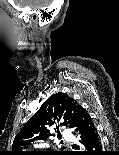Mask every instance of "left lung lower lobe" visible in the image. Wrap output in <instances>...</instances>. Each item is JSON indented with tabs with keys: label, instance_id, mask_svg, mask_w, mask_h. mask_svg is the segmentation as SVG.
<instances>
[{
	"label": "left lung lower lobe",
	"instance_id": "left-lung-lower-lobe-1",
	"mask_svg": "<svg viewBox=\"0 0 119 155\" xmlns=\"http://www.w3.org/2000/svg\"><path fill=\"white\" fill-rule=\"evenodd\" d=\"M74 130L84 150L79 155H104L98 131L90 115L82 106L77 107Z\"/></svg>",
	"mask_w": 119,
	"mask_h": 155
}]
</instances>
